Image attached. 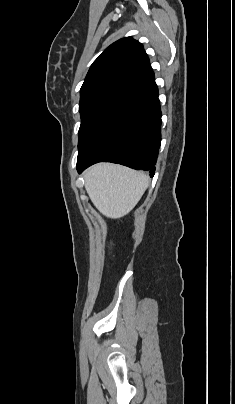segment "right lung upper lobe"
Segmentation results:
<instances>
[{
    "instance_id": "right-lung-upper-lobe-1",
    "label": "right lung upper lobe",
    "mask_w": 235,
    "mask_h": 404,
    "mask_svg": "<svg viewBox=\"0 0 235 404\" xmlns=\"http://www.w3.org/2000/svg\"><path fill=\"white\" fill-rule=\"evenodd\" d=\"M150 72L152 68L143 46L131 37L122 38L93 62L81 90L103 83L131 84Z\"/></svg>"
}]
</instances>
